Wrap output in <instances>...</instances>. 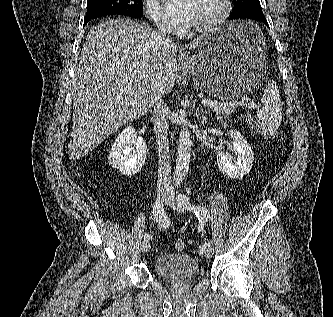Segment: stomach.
I'll list each match as a JSON object with an SVG mask.
<instances>
[{"instance_id": "0dacf381", "label": "stomach", "mask_w": 333, "mask_h": 317, "mask_svg": "<svg viewBox=\"0 0 333 317\" xmlns=\"http://www.w3.org/2000/svg\"><path fill=\"white\" fill-rule=\"evenodd\" d=\"M265 50L261 24L233 22L208 34L187 68L203 92L221 100H242L262 95L270 82V75H263Z\"/></svg>"}]
</instances>
